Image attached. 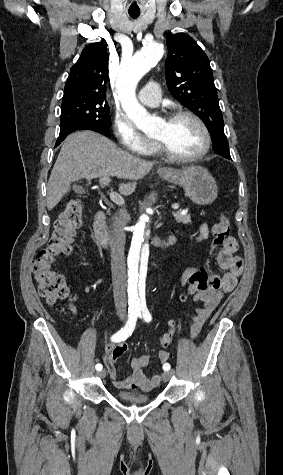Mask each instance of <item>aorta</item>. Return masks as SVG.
I'll use <instances>...</instances> for the list:
<instances>
[{
	"label": "aorta",
	"instance_id": "762f6f07",
	"mask_svg": "<svg viewBox=\"0 0 283 475\" xmlns=\"http://www.w3.org/2000/svg\"><path fill=\"white\" fill-rule=\"evenodd\" d=\"M164 46L152 42L135 53L133 57L121 62L116 80V90L121 105L128 118L138 129L147 134L157 132L160 121L152 117L136 98V86L140 79L160 61ZM161 197L156 188L150 189L144 198L136 222L131 226L133 232L127 257L128 265V304L140 309L146 305V277L148 271L152 228L160 216Z\"/></svg>",
	"mask_w": 283,
	"mask_h": 475
}]
</instances>
